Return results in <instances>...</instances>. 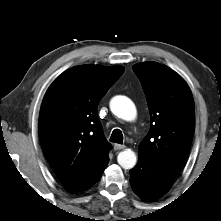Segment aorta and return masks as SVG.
Wrapping results in <instances>:
<instances>
[{"instance_id": "aorta-1", "label": "aorta", "mask_w": 221, "mask_h": 221, "mask_svg": "<svg viewBox=\"0 0 221 221\" xmlns=\"http://www.w3.org/2000/svg\"><path fill=\"white\" fill-rule=\"evenodd\" d=\"M110 109L114 115L126 121H133L137 115L134 103L125 96L113 97L110 101ZM117 161L123 169H132L137 162L136 154L126 149L118 154Z\"/></svg>"}]
</instances>
